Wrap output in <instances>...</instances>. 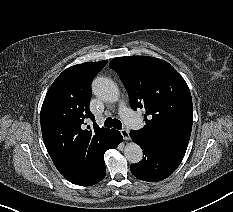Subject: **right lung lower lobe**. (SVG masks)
Wrapping results in <instances>:
<instances>
[{
    "mask_svg": "<svg viewBox=\"0 0 233 212\" xmlns=\"http://www.w3.org/2000/svg\"><path fill=\"white\" fill-rule=\"evenodd\" d=\"M123 140L119 131L112 129V132L108 136L106 142L99 151L98 159L92 174H90L84 180L76 183L81 186H89L96 184L101 181L106 174L105 162H104V153L111 148H116L118 144Z\"/></svg>",
    "mask_w": 233,
    "mask_h": 212,
    "instance_id": "right-lung-lower-lobe-1",
    "label": "right lung lower lobe"
}]
</instances>
